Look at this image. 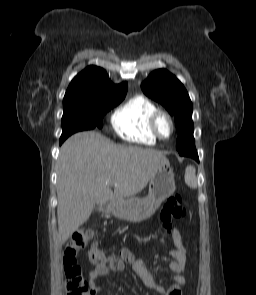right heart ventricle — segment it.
<instances>
[{
  "label": "right heart ventricle",
  "mask_w": 256,
  "mask_h": 295,
  "mask_svg": "<svg viewBox=\"0 0 256 295\" xmlns=\"http://www.w3.org/2000/svg\"><path fill=\"white\" fill-rule=\"evenodd\" d=\"M157 106L147 97L137 95L120 106L111 117L115 132L124 140L153 145L157 137L150 127Z\"/></svg>",
  "instance_id": "right-heart-ventricle-1"
}]
</instances>
